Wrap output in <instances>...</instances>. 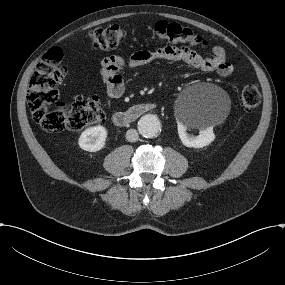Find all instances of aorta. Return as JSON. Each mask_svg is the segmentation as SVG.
I'll use <instances>...</instances> for the list:
<instances>
[{"mask_svg": "<svg viewBox=\"0 0 285 285\" xmlns=\"http://www.w3.org/2000/svg\"><path fill=\"white\" fill-rule=\"evenodd\" d=\"M138 129L143 137L153 138L161 131V125L155 115L147 114L139 120Z\"/></svg>", "mask_w": 285, "mask_h": 285, "instance_id": "1", "label": "aorta"}]
</instances>
